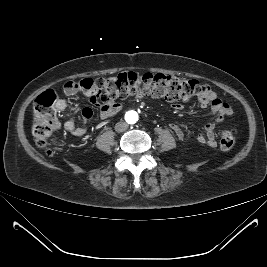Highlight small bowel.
Returning a JSON list of instances; mask_svg holds the SVG:
<instances>
[{
	"instance_id": "1",
	"label": "small bowel",
	"mask_w": 267,
	"mask_h": 267,
	"mask_svg": "<svg viewBox=\"0 0 267 267\" xmlns=\"http://www.w3.org/2000/svg\"><path fill=\"white\" fill-rule=\"evenodd\" d=\"M64 94L67 96H73L76 94H84L88 95V93L83 90L82 88L78 87L76 85V81H69L65 83L63 87ZM198 104L199 107L202 109L210 108L213 114L217 115V122L219 124H222L224 122V119L226 116H229L232 114L231 107L223 102L218 95L211 90L210 88H207V91L199 95L198 97ZM175 108L180 110L182 109V105H175ZM56 109L63 115L68 116V108L67 103L63 99H59L56 103ZM121 110V105L117 102H106L103 104H100V117L102 119H109L117 115ZM93 116V111L89 107H85L82 110V124L76 125L75 122L71 119H66L63 123V128L70 133L73 136L81 137L84 136L87 133V129L85 127V124L91 120ZM171 129L175 133L176 137L179 140H183L185 137V133L183 129L177 125V124H171ZM197 140L201 144H206L210 147L216 146V126L215 123L212 121H209L205 125V133L200 134L197 136Z\"/></svg>"
}]
</instances>
